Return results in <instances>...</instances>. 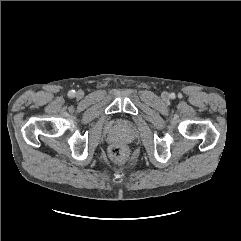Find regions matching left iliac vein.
<instances>
[{
	"label": "left iliac vein",
	"mask_w": 241,
	"mask_h": 241,
	"mask_svg": "<svg viewBox=\"0 0 241 241\" xmlns=\"http://www.w3.org/2000/svg\"><path fill=\"white\" fill-rule=\"evenodd\" d=\"M163 97L166 98V97H167V94L165 93V94L163 95Z\"/></svg>",
	"instance_id": "4c4485c4"
}]
</instances>
